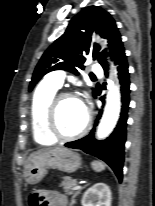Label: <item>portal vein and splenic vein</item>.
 <instances>
[{"mask_svg": "<svg viewBox=\"0 0 155 206\" xmlns=\"http://www.w3.org/2000/svg\"><path fill=\"white\" fill-rule=\"evenodd\" d=\"M80 188H81L80 185H76V186L74 187L75 190H76V189H80Z\"/></svg>", "mask_w": 155, "mask_h": 206, "instance_id": "1", "label": "portal vein and splenic vein"}]
</instances>
